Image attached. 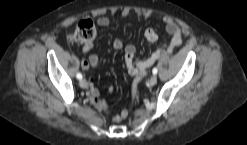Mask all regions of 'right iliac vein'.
Segmentation results:
<instances>
[{
    "label": "right iliac vein",
    "mask_w": 247,
    "mask_h": 145,
    "mask_svg": "<svg viewBox=\"0 0 247 145\" xmlns=\"http://www.w3.org/2000/svg\"><path fill=\"white\" fill-rule=\"evenodd\" d=\"M79 84L82 88H87L88 86L87 81L85 79L80 80Z\"/></svg>",
    "instance_id": "1"
}]
</instances>
